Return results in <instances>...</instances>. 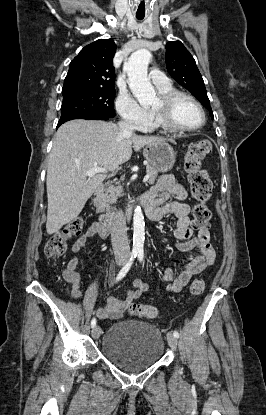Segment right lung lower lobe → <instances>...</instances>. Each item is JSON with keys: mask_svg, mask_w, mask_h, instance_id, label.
Returning a JSON list of instances; mask_svg holds the SVG:
<instances>
[{"mask_svg": "<svg viewBox=\"0 0 266 415\" xmlns=\"http://www.w3.org/2000/svg\"><path fill=\"white\" fill-rule=\"evenodd\" d=\"M73 119H87V120H108L109 117H105V116H98V115H79V114H65V115H61V118L58 122L57 128L69 121V120H73Z\"/></svg>", "mask_w": 266, "mask_h": 415, "instance_id": "1", "label": "right lung lower lobe"}]
</instances>
